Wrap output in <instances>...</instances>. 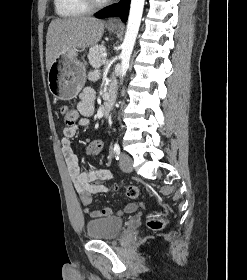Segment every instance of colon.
<instances>
[{
	"mask_svg": "<svg viewBox=\"0 0 247 280\" xmlns=\"http://www.w3.org/2000/svg\"><path fill=\"white\" fill-rule=\"evenodd\" d=\"M60 116L63 122L70 126L76 123L78 119L77 111L68 105H63L59 109ZM104 138L95 136L93 141L89 142L85 147V153L89 156L98 155L103 148ZM114 188H117L115 185ZM126 195L130 198H137L140 195V190L134 185H129L125 188ZM163 225V220L156 214H152L148 220V226L151 229H160Z\"/></svg>",
	"mask_w": 247,
	"mask_h": 280,
	"instance_id": "1",
	"label": "colon"
}]
</instances>
